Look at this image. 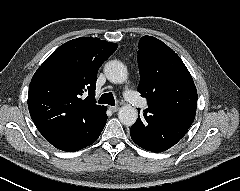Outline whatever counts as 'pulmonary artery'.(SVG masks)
I'll return each instance as SVG.
<instances>
[{"label":"pulmonary artery","mask_w":240,"mask_h":191,"mask_svg":"<svg viewBox=\"0 0 240 191\" xmlns=\"http://www.w3.org/2000/svg\"><path fill=\"white\" fill-rule=\"evenodd\" d=\"M124 97L133 105L138 106L141 102V98L129 88H126L124 91Z\"/></svg>","instance_id":"e3ab8cb5"}]
</instances>
